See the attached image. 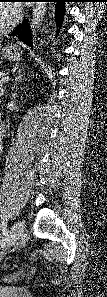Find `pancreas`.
Returning a JSON list of instances; mask_svg holds the SVG:
<instances>
[{
  "label": "pancreas",
  "mask_w": 107,
  "mask_h": 297,
  "mask_svg": "<svg viewBox=\"0 0 107 297\" xmlns=\"http://www.w3.org/2000/svg\"><path fill=\"white\" fill-rule=\"evenodd\" d=\"M5 76H6V73H5V72H2V73L0 74V79L2 80V78H4ZM1 80H0V86H1V88H2L4 82H2Z\"/></svg>",
  "instance_id": "obj_1"
}]
</instances>
